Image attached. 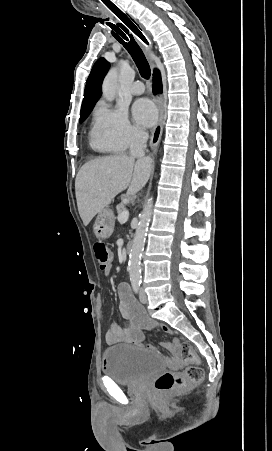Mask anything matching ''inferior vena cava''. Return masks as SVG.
Segmentation results:
<instances>
[{"label":"inferior vena cava","mask_w":272,"mask_h":451,"mask_svg":"<svg viewBox=\"0 0 272 451\" xmlns=\"http://www.w3.org/2000/svg\"><path fill=\"white\" fill-rule=\"evenodd\" d=\"M147 140V132H136L132 138L130 146L131 156H135V158H143V156H145Z\"/></svg>","instance_id":"obj_1"}]
</instances>
